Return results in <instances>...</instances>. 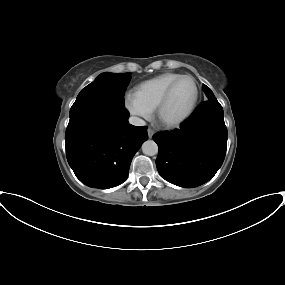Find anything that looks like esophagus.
<instances>
[{
    "mask_svg": "<svg viewBox=\"0 0 285 285\" xmlns=\"http://www.w3.org/2000/svg\"><path fill=\"white\" fill-rule=\"evenodd\" d=\"M147 133H148V137H149V138H152L155 132H154L153 129L148 128Z\"/></svg>",
    "mask_w": 285,
    "mask_h": 285,
    "instance_id": "34e87169",
    "label": "esophagus"
}]
</instances>
